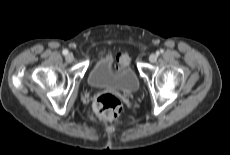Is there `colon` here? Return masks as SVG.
I'll use <instances>...</instances> for the list:
<instances>
[{"instance_id": "5ec220e1", "label": "colon", "mask_w": 230, "mask_h": 155, "mask_svg": "<svg viewBox=\"0 0 230 155\" xmlns=\"http://www.w3.org/2000/svg\"><path fill=\"white\" fill-rule=\"evenodd\" d=\"M94 110L101 120L111 121L121 114L122 105L116 96L107 93L100 95L96 99Z\"/></svg>"}]
</instances>
